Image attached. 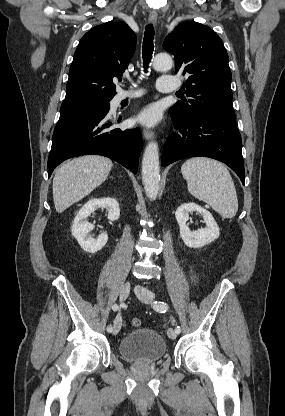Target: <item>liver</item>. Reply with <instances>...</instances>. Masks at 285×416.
I'll return each mask as SVG.
<instances>
[{
  "mask_svg": "<svg viewBox=\"0 0 285 416\" xmlns=\"http://www.w3.org/2000/svg\"><path fill=\"white\" fill-rule=\"evenodd\" d=\"M112 166L111 160L103 156H82L63 164L53 178L56 212L61 214L101 186L107 180Z\"/></svg>",
  "mask_w": 285,
  "mask_h": 416,
  "instance_id": "1",
  "label": "liver"
}]
</instances>
